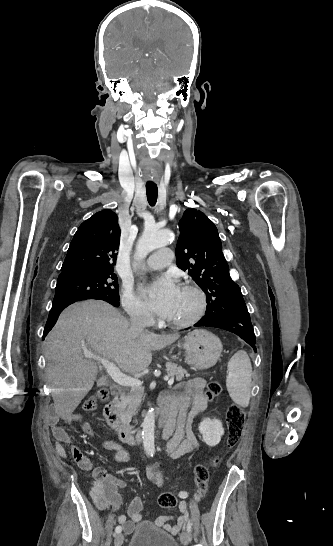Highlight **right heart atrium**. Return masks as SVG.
<instances>
[{"mask_svg": "<svg viewBox=\"0 0 333 546\" xmlns=\"http://www.w3.org/2000/svg\"><path fill=\"white\" fill-rule=\"evenodd\" d=\"M122 305L128 315L135 321L150 323L152 316L143 303L137 298L130 286L122 288Z\"/></svg>", "mask_w": 333, "mask_h": 546, "instance_id": "right-heart-atrium-1", "label": "right heart atrium"}]
</instances>
